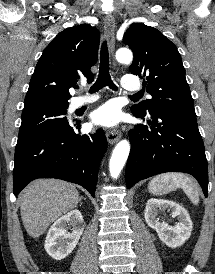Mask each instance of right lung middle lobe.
Listing matches in <instances>:
<instances>
[{"label":"right lung middle lobe","mask_w":215,"mask_h":274,"mask_svg":"<svg viewBox=\"0 0 215 274\" xmlns=\"http://www.w3.org/2000/svg\"><path fill=\"white\" fill-rule=\"evenodd\" d=\"M68 105L45 104L24 109L16 148L35 136L67 123Z\"/></svg>","instance_id":"obj_1"}]
</instances>
